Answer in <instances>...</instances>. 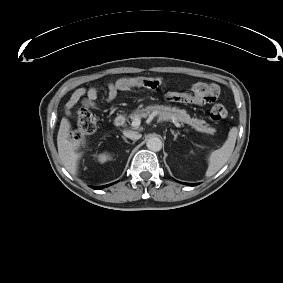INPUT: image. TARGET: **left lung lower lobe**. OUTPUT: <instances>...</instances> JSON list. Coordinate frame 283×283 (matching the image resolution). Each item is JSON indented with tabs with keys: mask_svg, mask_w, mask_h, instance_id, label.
Segmentation results:
<instances>
[{
	"mask_svg": "<svg viewBox=\"0 0 283 283\" xmlns=\"http://www.w3.org/2000/svg\"><path fill=\"white\" fill-rule=\"evenodd\" d=\"M187 185H190V186H192V185H194V184H187Z\"/></svg>",
	"mask_w": 283,
	"mask_h": 283,
	"instance_id": "left-lung-lower-lobe-1",
	"label": "left lung lower lobe"
}]
</instances>
